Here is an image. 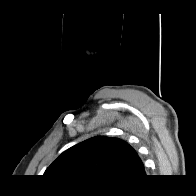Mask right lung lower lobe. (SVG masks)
Here are the masks:
<instances>
[{
    "mask_svg": "<svg viewBox=\"0 0 196 196\" xmlns=\"http://www.w3.org/2000/svg\"><path fill=\"white\" fill-rule=\"evenodd\" d=\"M132 183H134V182H132ZM132 183L120 184V186H126V185H130Z\"/></svg>",
    "mask_w": 196,
    "mask_h": 196,
    "instance_id": "right-lung-lower-lobe-1",
    "label": "right lung lower lobe"
}]
</instances>
